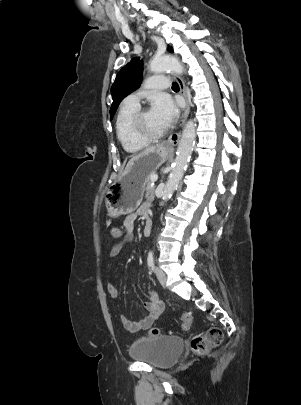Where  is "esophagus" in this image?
I'll use <instances>...</instances> for the list:
<instances>
[{"label": "esophagus", "instance_id": "obj_1", "mask_svg": "<svg viewBox=\"0 0 301 405\" xmlns=\"http://www.w3.org/2000/svg\"><path fill=\"white\" fill-rule=\"evenodd\" d=\"M176 81L179 85L180 88V92L182 94V96L184 97L185 100V108L184 111L182 113V116L180 118V126H183L185 124V121L188 117L189 114V110H190V101L187 95V90H186V86L185 83L183 81V79L180 76H176ZM181 134L180 133H173L171 134L168 139L164 142V145L167 147H173L176 146L178 144V141L180 139Z\"/></svg>", "mask_w": 301, "mask_h": 405}]
</instances>
